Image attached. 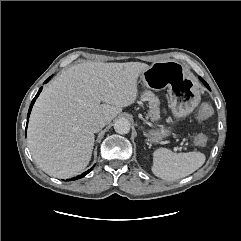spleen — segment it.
<instances>
[{
    "label": "spleen",
    "mask_w": 241,
    "mask_h": 241,
    "mask_svg": "<svg viewBox=\"0 0 241 241\" xmlns=\"http://www.w3.org/2000/svg\"><path fill=\"white\" fill-rule=\"evenodd\" d=\"M205 160V155L200 152L173 153L169 149L160 148L153 153L152 172L164 180H177L195 172Z\"/></svg>",
    "instance_id": "1"
}]
</instances>
